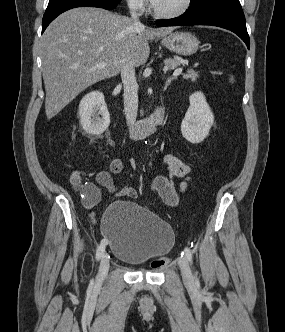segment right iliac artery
Segmentation results:
<instances>
[{"label":"right iliac artery","mask_w":285,"mask_h":332,"mask_svg":"<svg viewBox=\"0 0 285 332\" xmlns=\"http://www.w3.org/2000/svg\"><path fill=\"white\" fill-rule=\"evenodd\" d=\"M105 245H106V242L104 240H102L96 251L97 260H99L103 256L104 251H105Z\"/></svg>","instance_id":"1"}]
</instances>
